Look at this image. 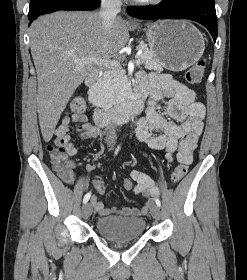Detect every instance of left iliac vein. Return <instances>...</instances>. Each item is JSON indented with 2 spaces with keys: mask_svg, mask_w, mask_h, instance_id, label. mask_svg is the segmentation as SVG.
Wrapping results in <instances>:
<instances>
[{
  "mask_svg": "<svg viewBox=\"0 0 247 280\" xmlns=\"http://www.w3.org/2000/svg\"><path fill=\"white\" fill-rule=\"evenodd\" d=\"M150 212H151V215L154 219H156V220L160 219L161 211H160V208L157 205H155V204L152 205Z\"/></svg>",
  "mask_w": 247,
  "mask_h": 280,
  "instance_id": "left-iliac-vein-1",
  "label": "left iliac vein"
}]
</instances>
